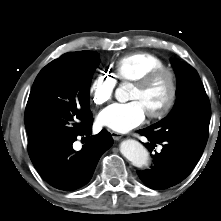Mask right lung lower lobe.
Instances as JSON below:
<instances>
[{"label":"right lung lower lobe","instance_id":"98d812e1","mask_svg":"<svg viewBox=\"0 0 221 221\" xmlns=\"http://www.w3.org/2000/svg\"><path fill=\"white\" fill-rule=\"evenodd\" d=\"M90 119L74 138L62 141H43L28 144L32 163L41 177L56 189L71 191L87 184L98 160L113 144L111 134L102 130L90 143L76 152L72 144L77 137H89L92 133Z\"/></svg>","mask_w":221,"mask_h":221}]
</instances>
